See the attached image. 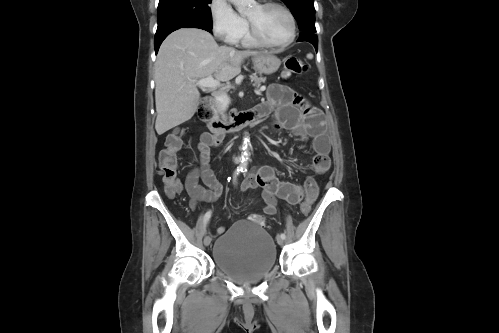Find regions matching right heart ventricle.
<instances>
[{
  "instance_id": "e07e8e85",
  "label": "right heart ventricle",
  "mask_w": 499,
  "mask_h": 333,
  "mask_svg": "<svg viewBox=\"0 0 499 333\" xmlns=\"http://www.w3.org/2000/svg\"><path fill=\"white\" fill-rule=\"evenodd\" d=\"M238 42L241 43L245 47H259V46H261L252 39L247 28L244 31V33L241 35Z\"/></svg>"
}]
</instances>
